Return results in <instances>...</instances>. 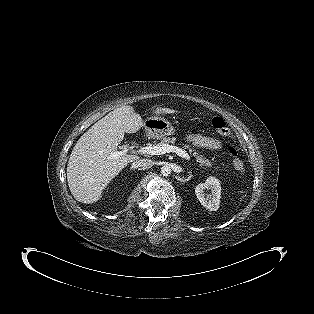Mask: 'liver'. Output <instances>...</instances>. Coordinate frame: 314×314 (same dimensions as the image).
Masks as SVG:
<instances>
[{
  "instance_id": "1",
  "label": "liver",
  "mask_w": 314,
  "mask_h": 314,
  "mask_svg": "<svg viewBox=\"0 0 314 314\" xmlns=\"http://www.w3.org/2000/svg\"><path fill=\"white\" fill-rule=\"evenodd\" d=\"M155 117L174 114L169 108H153ZM143 127L142 118L131 106H122L108 113L85 132L75 144L67 165V181L73 197L82 203L97 202L110 181L137 155L111 158L126 133Z\"/></svg>"
}]
</instances>
